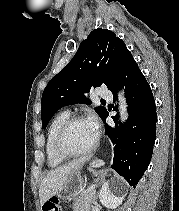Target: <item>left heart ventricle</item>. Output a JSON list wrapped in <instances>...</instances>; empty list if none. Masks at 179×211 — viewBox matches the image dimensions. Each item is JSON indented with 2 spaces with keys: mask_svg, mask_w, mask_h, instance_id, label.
<instances>
[{
  "mask_svg": "<svg viewBox=\"0 0 179 211\" xmlns=\"http://www.w3.org/2000/svg\"><path fill=\"white\" fill-rule=\"evenodd\" d=\"M95 137L85 121L76 123L67 138V147L72 152H81L93 145Z\"/></svg>",
  "mask_w": 179,
  "mask_h": 211,
  "instance_id": "left-heart-ventricle-1",
  "label": "left heart ventricle"
}]
</instances>
